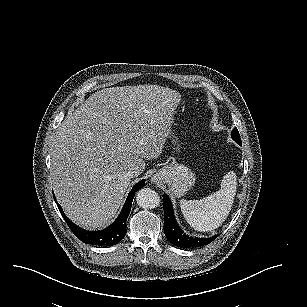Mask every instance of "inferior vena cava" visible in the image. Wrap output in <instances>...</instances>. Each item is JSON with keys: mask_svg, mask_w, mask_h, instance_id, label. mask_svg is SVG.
<instances>
[{"mask_svg": "<svg viewBox=\"0 0 307 307\" xmlns=\"http://www.w3.org/2000/svg\"><path fill=\"white\" fill-rule=\"evenodd\" d=\"M137 175V173L135 171H129L127 173V177L128 178H134Z\"/></svg>", "mask_w": 307, "mask_h": 307, "instance_id": "1", "label": "inferior vena cava"}]
</instances>
